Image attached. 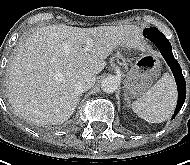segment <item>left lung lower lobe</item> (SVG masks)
Here are the masks:
<instances>
[{"instance_id": "0a47b994", "label": "left lung lower lobe", "mask_w": 190, "mask_h": 165, "mask_svg": "<svg viewBox=\"0 0 190 165\" xmlns=\"http://www.w3.org/2000/svg\"><path fill=\"white\" fill-rule=\"evenodd\" d=\"M149 40H151L159 48L164 59L170 66V68L173 72V75L175 77L176 83H177L178 102H177V106H176L174 115L172 116V119H173L176 116V114L180 111V109L182 108L185 98H186L185 79L182 75L180 65L178 64L177 60L173 56L171 44L168 41V39L161 33V34L150 37Z\"/></svg>"}]
</instances>
